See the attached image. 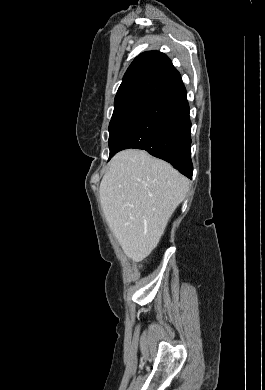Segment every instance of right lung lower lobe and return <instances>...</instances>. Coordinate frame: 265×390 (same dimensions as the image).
<instances>
[{
    "label": "right lung lower lobe",
    "instance_id": "1",
    "mask_svg": "<svg viewBox=\"0 0 265 390\" xmlns=\"http://www.w3.org/2000/svg\"><path fill=\"white\" fill-rule=\"evenodd\" d=\"M190 131L186 89L180 82L133 120L119 138L115 154L127 148L143 149L192 178Z\"/></svg>",
    "mask_w": 265,
    "mask_h": 390
}]
</instances>
